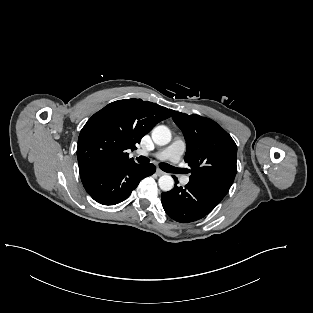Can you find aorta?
<instances>
[{"mask_svg": "<svg viewBox=\"0 0 313 313\" xmlns=\"http://www.w3.org/2000/svg\"><path fill=\"white\" fill-rule=\"evenodd\" d=\"M152 139L157 145H166L171 141V131L164 125L155 127L152 131ZM159 187L163 191H170L174 186V180L169 175H163L158 180Z\"/></svg>", "mask_w": 313, "mask_h": 313, "instance_id": "obj_1", "label": "aorta"}]
</instances>
